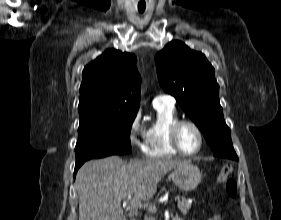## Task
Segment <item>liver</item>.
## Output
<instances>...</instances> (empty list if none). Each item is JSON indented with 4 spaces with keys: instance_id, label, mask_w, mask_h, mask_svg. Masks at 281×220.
I'll return each mask as SVG.
<instances>
[{
    "instance_id": "1",
    "label": "liver",
    "mask_w": 281,
    "mask_h": 220,
    "mask_svg": "<svg viewBox=\"0 0 281 220\" xmlns=\"http://www.w3.org/2000/svg\"><path fill=\"white\" fill-rule=\"evenodd\" d=\"M186 164L190 161L147 159L125 162L118 156L86 162L75 181L79 220H126L122 200L128 195L139 201L151 199L164 175Z\"/></svg>"
}]
</instances>
